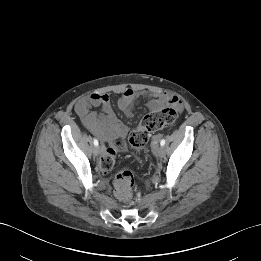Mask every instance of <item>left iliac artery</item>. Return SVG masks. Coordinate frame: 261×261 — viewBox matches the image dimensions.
Here are the masks:
<instances>
[{"label": "left iliac artery", "mask_w": 261, "mask_h": 261, "mask_svg": "<svg viewBox=\"0 0 261 261\" xmlns=\"http://www.w3.org/2000/svg\"><path fill=\"white\" fill-rule=\"evenodd\" d=\"M160 145H161V146H164V145H165V140H164V139H162V140L160 141Z\"/></svg>", "instance_id": "1"}]
</instances>
